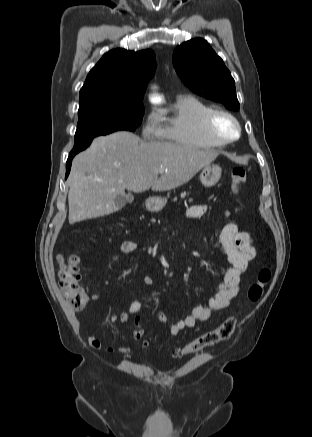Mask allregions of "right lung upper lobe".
Here are the masks:
<instances>
[{
  "label": "right lung upper lobe",
  "instance_id": "obj_1",
  "mask_svg": "<svg viewBox=\"0 0 312 437\" xmlns=\"http://www.w3.org/2000/svg\"><path fill=\"white\" fill-rule=\"evenodd\" d=\"M156 68L152 50L115 49L91 69L80 90L79 108L143 105L146 84Z\"/></svg>",
  "mask_w": 312,
  "mask_h": 437
}]
</instances>
